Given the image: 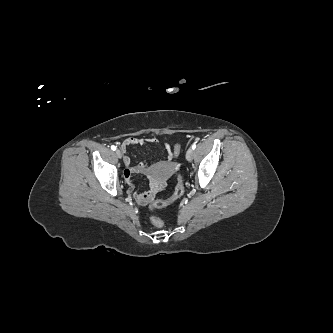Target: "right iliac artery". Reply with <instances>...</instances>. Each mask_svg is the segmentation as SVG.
<instances>
[{
	"instance_id": "82829eb1",
	"label": "right iliac artery",
	"mask_w": 333,
	"mask_h": 333,
	"mask_svg": "<svg viewBox=\"0 0 333 333\" xmlns=\"http://www.w3.org/2000/svg\"><path fill=\"white\" fill-rule=\"evenodd\" d=\"M111 149H112L113 151L116 150V146L112 145V146H111Z\"/></svg>"
}]
</instances>
